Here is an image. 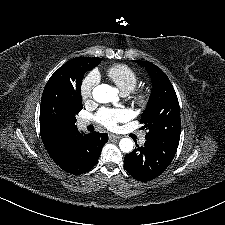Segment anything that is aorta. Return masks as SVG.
I'll return each instance as SVG.
<instances>
[{
	"label": "aorta",
	"instance_id": "obj_1",
	"mask_svg": "<svg viewBox=\"0 0 225 225\" xmlns=\"http://www.w3.org/2000/svg\"><path fill=\"white\" fill-rule=\"evenodd\" d=\"M117 89L107 85L100 84L93 89V98L99 103H109L117 100ZM134 143L130 138H123L119 142V148L124 153H130L133 150Z\"/></svg>",
	"mask_w": 225,
	"mask_h": 225
}]
</instances>
